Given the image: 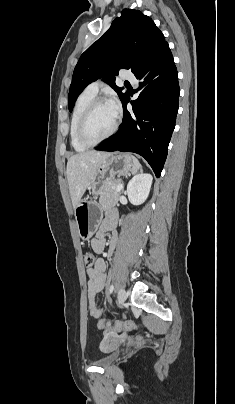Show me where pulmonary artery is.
Masks as SVG:
<instances>
[{
	"label": "pulmonary artery",
	"instance_id": "pulmonary-artery-1",
	"mask_svg": "<svg viewBox=\"0 0 235 404\" xmlns=\"http://www.w3.org/2000/svg\"><path fill=\"white\" fill-rule=\"evenodd\" d=\"M120 77L122 79L130 81L133 84L137 83V81H136V79L134 77V74L130 70H124L121 73ZM101 86H102V83L100 81H95V82H92L91 84H89L86 87L85 91L92 94V95H97V93L99 92V89L101 88Z\"/></svg>",
	"mask_w": 235,
	"mask_h": 404
}]
</instances>
